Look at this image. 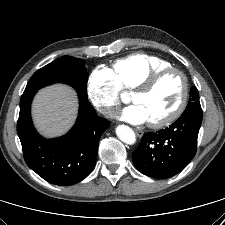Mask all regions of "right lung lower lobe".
I'll return each mask as SVG.
<instances>
[{
	"instance_id": "98d812e1",
	"label": "right lung lower lobe",
	"mask_w": 225,
	"mask_h": 225,
	"mask_svg": "<svg viewBox=\"0 0 225 225\" xmlns=\"http://www.w3.org/2000/svg\"><path fill=\"white\" fill-rule=\"evenodd\" d=\"M36 92L23 93L17 133L27 165L49 183L76 184L93 170L98 143L110 122L96 115L86 98L79 97L80 109L74 127L56 139L41 137L33 127L30 107Z\"/></svg>"
}]
</instances>
